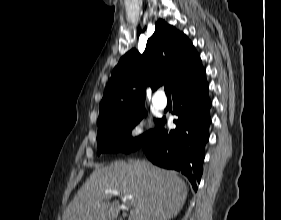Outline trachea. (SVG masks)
Returning a JSON list of instances; mask_svg holds the SVG:
<instances>
[{
  "label": "trachea",
  "mask_w": 281,
  "mask_h": 220,
  "mask_svg": "<svg viewBox=\"0 0 281 220\" xmlns=\"http://www.w3.org/2000/svg\"><path fill=\"white\" fill-rule=\"evenodd\" d=\"M165 93L168 97L171 96V86L169 84L165 86Z\"/></svg>",
  "instance_id": "3493384b"
}]
</instances>
